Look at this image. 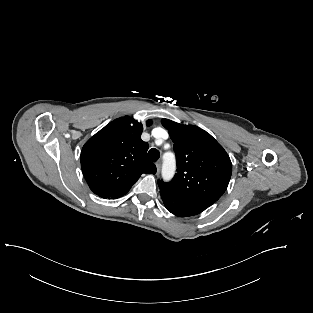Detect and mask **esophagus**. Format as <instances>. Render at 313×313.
<instances>
[{
  "label": "esophagus",
  "instance_id": "obj_1",
  "mask_svg": "<svg viewBox=\"0 0 313 313\" xmlns=\"http://www.w3.org/2000/svg\"><path fill=\"white\" fill-rule=\"evenodd\" d=\"M160 168H161V163L157 162L156 163V174L158 175L160 173Z\"/></svg>",
  "mask_w": 313,
  "mask_h": 313
}]
</instances>
